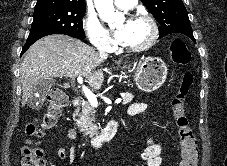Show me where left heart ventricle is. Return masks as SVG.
I'll list each match as a JSON object with an SVG mask.
<instances>
[{
    "label": "left heart ventricle",
    "mask_w": 227,
    "mask_h": 166,
    "mask_svg": "<svg viewBox=\"0 0 227 166\" xmlns=\"http://www.w3.org/2000/svg\"><path fill=\"white\" fill-rule=\"evenodd\" d=\"M121 26L126 27V37L123 41V44L126 46L142 44L150 35V28L143 20H122L120 22Z\"/></svg>",
    "instance_id": "b2bd125f"
}]
</instances>
